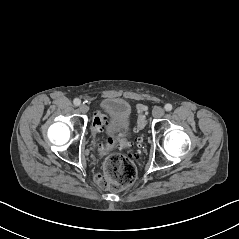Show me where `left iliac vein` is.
Here are the masks:
<instances>
[{
  "label": "left iliac vein",
  "mask_w": 239,
  "mask_h": 239,
  "mask_svg": "<svg viewBox=\"0 0 239 239\" xmlns=\"http://www.w3.org/2000/svg\"><path fill=\"white\" fill-rule=\"evenodd\" d=\"M165 111L163 108L158 107L156 109L153 110V117L154 118H161L164 115Z\"/></svg>",
  "instance_id": "1"
}]
</instances>
